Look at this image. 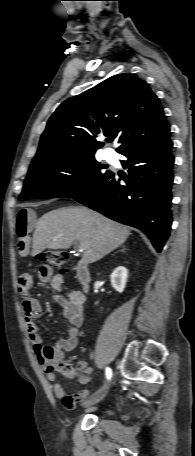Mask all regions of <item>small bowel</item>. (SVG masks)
Wrapping results in <instances>:
<instances>
[{"mask_svg":"<svg viewBox=\"0 0 195 456\" xmlns=\"http://www.w3.org/2000/svg\"><path fill=\"white\" fill-rule=\"evenodd\" d=\"M32 225L33 214L28 210H21L17 215L15 224V231L18 236V252L21 256H26L29 253ZM38 278L41 282L50 284L54 291L55 301L60 305L63 316L69 322V328L65 338L57 340L53 345L44 346L43 336L35 323V320L42 313L41 304L36 298L29 296L33 280L29 273H24L18 279V291L23 296L21 309L25 318L26 330L37 360L44 367L47 380L52 384L54 395L62 401L65 408L73 409L88 396V390L81 389L74 395L66 394L52 368L65 358L66 352L74 350L78 345V331L84 320L83 304L85 298L80 291H65L63 276L54 274L48 265L39 267ZM77 366L81 373V383H88L91 368L84 361H78Z\"/></svg>","mask_w":195,"mask_h":456,"instance_id":"1","label":"small bowel"}]
</instances>
